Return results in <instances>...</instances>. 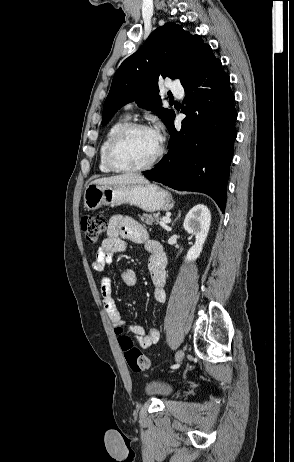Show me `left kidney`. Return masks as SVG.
Segmentation results:
<instances>
[{"label":"left kidney","instance_id":"obj_1","mask_svg":"<svg viewBox=\"0 0 294 462\" xmlns=\"http://www.w3.org/2000/svg\"><path fill=\"white\" fill-rule=\"evenodd\" d=\"M210 224V210L203 204L194 206L187 213L183 227L189 234H193L196 239L195 244L189 249L185 257L188 262L194 261L200 256L209 233Z\"/></svg>","mask_w":294,"mask_h":462}]
</instances>
